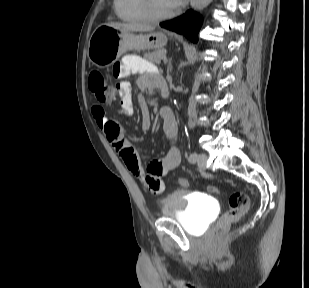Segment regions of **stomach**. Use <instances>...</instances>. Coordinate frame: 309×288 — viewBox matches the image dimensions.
I'll use <instances>...</instances> for the list:
<instances>
[{
  "label": "stomach",
  "instance_id": "1",
  "mask_svg": "<svg viewBox=\"0 0 309 288\" xmlns=\"http://www.w3.org/2000/svg\"><path fill=\"white\" fill-rule=\"evenodd\" d=\"M166 43L167 37L162 32L136 35L103 24L92 33L87 54L93 65L104 68L112 65L128 50L159 49Z\"/></svg>",
  "mask_w": 309,
  "mask_h": 288
}]
</instances>
